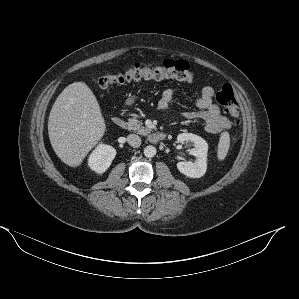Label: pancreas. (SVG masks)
Segmentation results:
<instances>
[{
  "mask_svg": "<svg viewBox=\"0 0 299 299\" xmlns=\"http://www.w3.org/2000/svg\"><path fill=\"white\" fill-rule=\"evenodd\" d=\"M125 128L129 131H135L141 135H148L151 132L150 128L142 126V122L136 118L128 119V121L125 123Z\"/></svg>",
  "mask_w": 299,
  "mask_h": 299,
  "instance_id": "obj_1",
  "label": "pancreas"
}]
</instances>
